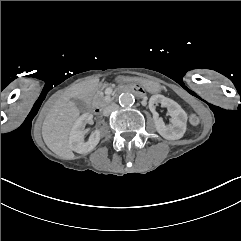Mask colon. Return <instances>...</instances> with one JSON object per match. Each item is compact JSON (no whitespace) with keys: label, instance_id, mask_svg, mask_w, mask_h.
Wrapping results in <instances>:
<instances>
[{"label":"colon","instance_id":"5ec220e1","mask_svg":"<svg viewBox=\"0 0 241 241\" xmlns=\"http://www.w3.org/2000/svg\"><path fill=\"white\" fill-rule=\"evenodd\" d=\"M189 122L191 125H198L200 123V118L196 114H191L189 117Z\"/></svg>","mask_w":241,"mask_h":241}]
</instances>
